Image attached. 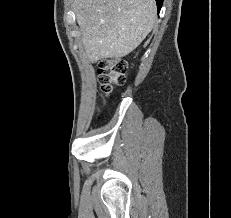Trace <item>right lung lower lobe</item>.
Masks as SVG:
<instances>
[{
    "label": "right lung lower lobe",
    "instance_id": "98d812e1",
    "mask_svg": "<svg viewBox=\"0 0 231 218\" xmlns=\"http://www.w3.org/2000/svg\"><path fill=\"white\" fill-rule=\"evenodd\" d=\"M156 3H157V9H158V12H159L161 7H162L163 0H156Z\"/></svg>",
    "mask_w": 231,
    "mask_h": 218
}]
</instances>
